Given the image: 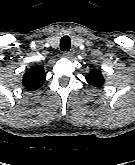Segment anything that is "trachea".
<instances>
[{
	"instance_id": "1",
	"label": "trachea",
	"mask_w": 135,
	"mask_h": 165,
	"mask_svg": "<svg viewBox=\"0 0 135 165\" xmlns=\"http://www.w3.org/2000/svg\"><path fill=\"white\" fill-rule=\"evenodd\" d=\"M71 47L70 37L65 35L60 40V49L61 51H69Z\"/></svg>"
}]
</instances>
